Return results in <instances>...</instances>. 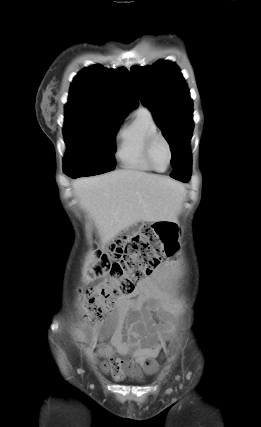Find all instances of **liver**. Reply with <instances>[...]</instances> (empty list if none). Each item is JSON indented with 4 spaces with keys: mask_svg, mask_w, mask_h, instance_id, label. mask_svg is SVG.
Returning a JSON list of instances; mask_svg holds the SVG:
<instances>
[{
    "mask_svg": "<svg viewBox=\"0 0 261 427\" xmlns=\"http://www.w3.org/2000/svg\"><path fill=\"white\" fill-rule=\"evenodd\" d=\"M72 187L103 243L140 221L175 220L186 194L171 178L130 169L81 178Z\"/></svg>",
    "mask_w": 261,
    "mask_h": 427,
    "instance_id": "1",
    "label": "liver"
}]
</instances>
